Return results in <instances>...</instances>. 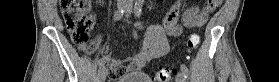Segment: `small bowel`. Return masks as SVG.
<instances>
[{"label": "small bowel", "mask_w": 279, "mask_h": 82, "mask_svg": "<svg viewBox=\"0 0 279 82\" xmlns=\"http://www.w3.org/2000/svg\"><path fill=\"white\" fill-rule=\"evenodd\" d=\"M182 5V0L175 1L169 8L162 24L145 25L141 22H135V29L122 28L123 31L130 33V38L133 40H138L137 30L144 32L140 51L135 55L121 59L115 58L112 56L110 45L103 46L101 60L112 78L116 79L130 71H140L150 60L166 54L169 51L171 37L181 35L185 28L203 26L207 22L208 15L216 8L207 2L201 8L190 6L184 10L181 22H179Z\"/></svg>", "instance_id": "obj_1"}]
</instances>
